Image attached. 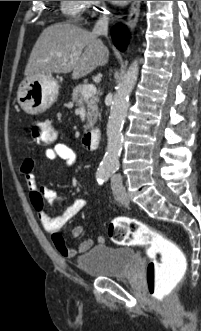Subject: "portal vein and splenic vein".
Returning <instances> with one entry per match:
<instances>
[{"label": "portal vein and splenic vein", "instance_id": "obj_1", "mask_svg": "<svg viewBox=\"0 0 201 331\" xmlns=\"http://www.w3.org/2000/svg\"><path fill=\"white\" fill-rule=\"evenodd\" d=\"M58 56H60V54H58ZM96 91H97V89H96L95 85L88 84L83 88L82 94H83L84 98H89L92 95H95Z\"/></svg>", "mask_w": 201, "mask_h": 331}]
</instances>
